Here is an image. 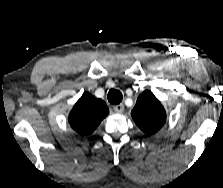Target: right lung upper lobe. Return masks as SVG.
I'll use <instances>...</instances> for the list:
<instances>
[{"label":"right lung upper lobe","instance_id":"1","mask_svg":"<svg viewBox=\"0 0 223 188\" xmlns=\"http://www.w3.org/2000/svg\"><path fill=\"white\" fill-rule=\"evenodd\" d=\"M109 114L106 103L86 92L69 114V124L81 135L91 134Z\"/></svg>","mask_w":223,"mask_h":188}]
</instances>
